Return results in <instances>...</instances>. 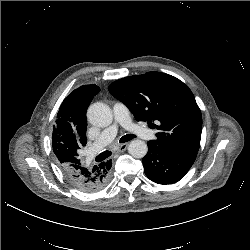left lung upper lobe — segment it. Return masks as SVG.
I'll list each match as a JSON object with an SVG mask.
<instances>
[{
  "instance_id": "1",
  "label": "left lung upper lobe",
  "mask_w": 250,
  "mask_h": 250,
  "mask_svg": "<svg viewBox=\"0 0 250 250\" xmlns=\"http://www.w3.org/2000/svg\"><path fill=\"white\" fill-rule=\"evenodd\" d=\"M110 93L123 102L136 120L157 128L164 146L197 152L202 131L201 111L191 90L174 76L148 72L113 82Z\"/></svg>"
}]
</instances>
